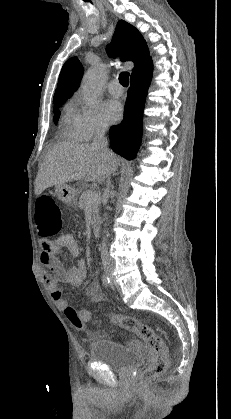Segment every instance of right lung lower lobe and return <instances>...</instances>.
Here are the masks:
<instances>
[{"instance_id":"1","label":"right lung lower lobe","mask_w":231,"mask_h":419,"mask_svg":"<svg viewBox=\"0 0 231 419\" xmlns=\"http://www.w3.org/2000/svg\"><path fill=\"white\" fill-rule=\"evenodd\" d=\"M152 61L131 74V86L124 108L123 121L109 131L112 149L128 160L135 158L142 138L145 98L152 78Z\"/></svg>"}]
</instances>
